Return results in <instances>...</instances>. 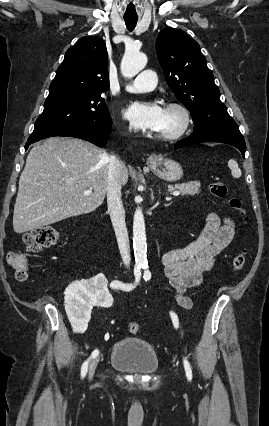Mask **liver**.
<instances>
[{
	"label": "liver",
	"mask_w": 269,
	"mask_h": 426,
	"mask_svg": "<svg viewBox=\"0 0 269 426\" xmlns=\"http://www.w3.org/2000/svg\"><path fill=\"white\" fill-rule=\"evenodd\" d=\"M109 157L78 138L50 137L35 145L19 180L14 231L25 233L96 210L106 195ZM127 181L123 163L121 183ZM85 190L92 194L84 195Z\"/></svg>",
	"instance_id": "liver-1"
}]
</instances>
